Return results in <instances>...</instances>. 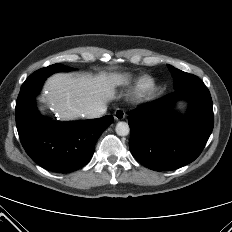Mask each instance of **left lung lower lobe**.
Masks as SVG:
<instances>
[{
	"label": "left lung lower lobe",
	"instance_id": "1",
	"mask_svg": "<svg viewBox=\"0 0 232 232\" xmlns=\"http://www.w3.org/2000/svg\"><path fill=\"white\" fill-rule=\"evenodd\" d=\"M179 99L189 101L186 116L166 117L164 111ZM128 124L129 148L139 163L155 171L180 168L200 155L213 130L210 92L201 80L186 85L130 112Z\"/></svg>",
	"mask_w": 232,
	"mask_h": 232
}]
</instances>
